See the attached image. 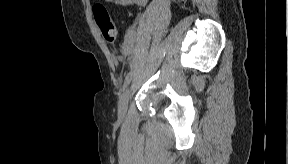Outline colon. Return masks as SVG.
Returning a JSON list of instances; mask_svg holds the SVG:
<instances>
[{"label": "colon", "mask_w": 288, "mask_h": 164, "mask_svg": "<svg viewBox=\"0 0 288 164\" xmlns=\"http://www.w3.org/2000/svg\"><path fill=\"white\" fill-rule=\"evenodd\" d=\"M94 20L107 40L115 41L117 39V27L111 20L109 12L105 7L98 5L94 8Z\"/></svg>", "instance_id": "colon-1"}]
</instances>
